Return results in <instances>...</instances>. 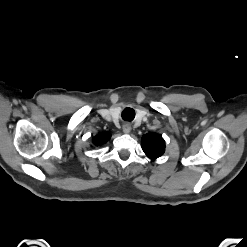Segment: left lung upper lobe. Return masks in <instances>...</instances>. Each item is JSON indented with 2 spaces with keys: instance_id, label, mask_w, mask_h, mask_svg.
<instances>
[{
  "instance_id": "1",
  "label": "left lung upper lobe",
  "mask_w": 247,
  "mask_h": 247,
  "mask_svg": "<svg viewBox=\"0 0 247 247\" xmlns=\"http://www.w3.org/2000/svg\"><path fill=\"white\" fill-rule=\"evenodd\" d=\"M142 149L149 158L156 159L163 155L165 141L159 134H147L142 138Z\"/></svg>"
}]
</instances>
